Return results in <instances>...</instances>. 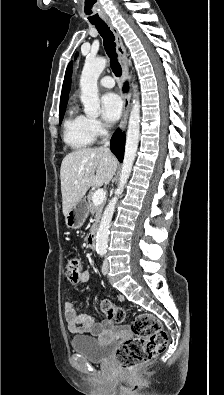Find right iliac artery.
Listing matches in <instances>:
<instances>
[{"label":"right iliac artery","instance_id":"obj_1","mask_svg":"<svg viewBox=\"0 0 224 395\" xmlns=\"http://www.w3.org/2000/svg\"><path fill=\"white\" fill-rule=\"evenodd\" d=\"M100 254L102 255V254H104V252H100Z\"/></svg>","mask_w":224,"mask_h":395}]
</instances>
